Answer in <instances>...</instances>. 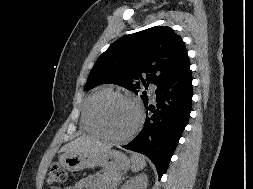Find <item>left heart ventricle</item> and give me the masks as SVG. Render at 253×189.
Returning a JSON list of instances; mask_svg holds the SVG:
<instances>
[{
    "mask_svg": "<svg viewBox=\"0 0 253 189\" xmlns=\"http://www.w3.org/2000/svg\"><path fill=\"white\" fill-rule=\"evenodd\" d=\"M101 117L108 131L115 136L128 134L137 122L135 108L120 99H110L101 107Z\"/></svg>",
    "mask_w": 253,
    "mask_h": 189,
    "instance_id": "obj_1",
    "label": "left heart ventricle"
}]
</instances>
